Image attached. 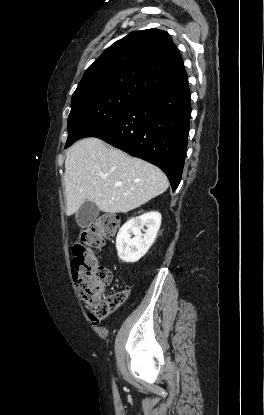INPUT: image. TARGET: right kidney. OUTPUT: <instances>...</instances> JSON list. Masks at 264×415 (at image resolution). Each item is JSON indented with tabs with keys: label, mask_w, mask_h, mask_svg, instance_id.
I'll return each instance as SVG.
<instances>
[{
	"label": "right kidney",
	"mask_w": 264,
	"mask_h": 415,
	"mask_svg": "<svg viewBox=\"0 0 264 415\" xmlns=\"http://www.w3.org/2000/svg\"><path fill=\"white\" fill-rule=\"evenodd\" d=\"M161 225L159 212H148L128 220L116 237L118 257L127 263L137 262L153 244ZM144 226L147 227L144 230ZM141 230H144L143 234ZM134 237L131 238V235Z\"/></svg>",
	"instance_id": "1"
}]
</instances>
